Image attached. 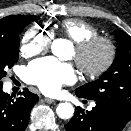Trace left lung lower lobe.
Masks as SVG:
<instances>
[{"mask_svg": "<svg viewBox=\"0 0 131 131\" xmlns=\"http://www.w3.org/2000/svg\"><path fill=\"white\" fill-rule=\"evenodd\" d=\"M129 121L112 106L96 101V106L86 113L78 107L65 128L67 131H121Z\"/></svg>", "mask_w": 131, "mask_h": 131, "instance_id": "obj_1", "label": "left lung lower lobe"}]
</instances>
